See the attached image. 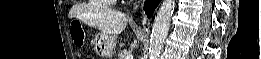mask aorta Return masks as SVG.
<instances>
[{
  "mask_svg": "<svg viewBox=\"0 0 261 59\" xmlns=\"http://www.w3.org/2000/svg\"><path fill=\"white\" fill-rule=\"evenodd\" d=\"M175 9V0H163L153 23L149 44V59H158L163 49L171 18Z\"/></svg>",
  "mask_w": 261,
  "mask_h": 59,
  "instance_id": "obj_1",
  "label": "aorta"
}]
</instances>
